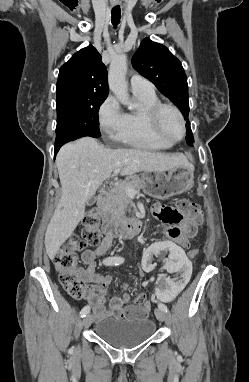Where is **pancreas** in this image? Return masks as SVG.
I'll return each instance as SVG.
<instances>
[{
  "label": "pancreas",
  "instance_id": "pancreas-1",
  "mask_svg": "<svg viewBox=\"0 0 249 382\" xmlns=\"http://www.w3.org/2000/svg\"><path fill=\"white\" fill-rule=\"evenodd\" d=\"M145 185V181L138 175H129L126 179L113 187L109 193L106 214L123 216L124 208L129 203L126 187L139 190Z\"/></svg>",
  "mask_w": 249,
  "mask_h": 382
}]
</instances>
